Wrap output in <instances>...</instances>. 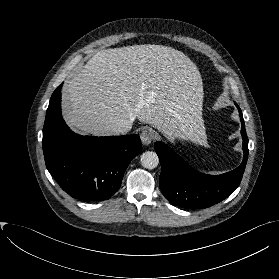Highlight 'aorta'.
<instances>
[{"mask_svg":"<svg viewBox=\"0 0 279 279\" xmlns=\"http://www.w3.org/2000/svg\"><path fill=\"white\" fill-rule=\"evenodd\" d=\"M141 164L146 169H154L159 164L158 155L153 151L144 152L141 155Z\"/></svg>","mask_w":279,"mask_h":279,"instance_id":"762f6f07","label":"aorta"}]
</instances>
